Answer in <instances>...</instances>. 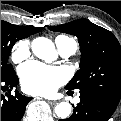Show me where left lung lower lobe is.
I'll list each match as a JSON object with an SVG mask.
<instances>
[{
    "label": "left lung lower lobe",
    "mask_w": 121,
    "mask_h": 121,
    "mask_svg": "<svg viewBox=\"0 0 121 121\" xmlns=\"http://www.w3.org/2000/svg\"><path fill=\"white\" fill-rule=\"evenodd\" d=\"M80 99L73 114L59 121H107L118 105L107 96L91 90H81Z\"/></svg>",
    "instance_id": "left-lung-lower-lobe-1"
}]
</instances>
